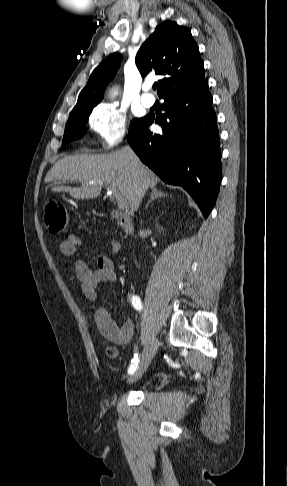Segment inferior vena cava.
<instances>
[{"instance_id":"inferior-vena-cava-1","label":"inferior vena cava","mask_w":287,"mask_h":486,"mask_svg":"<svg viewBox=\"0 0 287 486\" xmlns=\"http://www.w3.org/2000/svg\"><path fill=\"white\" fill-rule=\"evenodd\" d=\"M124 150L127 151L131 155H135L134 152L131 150L130 147H125ZM147 188H148L147 183H146L145 180H143L142 181V184L140 186L139 192H138L139 202H141L142 198L144 197Z\"/></svg>"}]
</instances>
